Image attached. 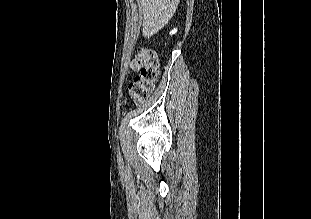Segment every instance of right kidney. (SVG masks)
Listing matches in <instances>:
<instances>
[{
    "instance_id": "ca27d5eb",
    "label": "right kidney",
    "mask_w": 311,
    "mask_h": 219,
    "mask_svg": "<svg viewBox=\"0 0 311 219\" xmlns=\"http://www.w3.org/2000/svg\"><path fill=\"white\" fill-rule=\"evenodd\" d=\"M177 32V29H173L171 32H170V35H173Z\"/></svg>"
}]
</instances>
